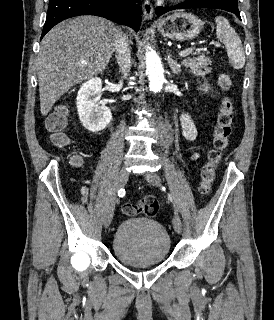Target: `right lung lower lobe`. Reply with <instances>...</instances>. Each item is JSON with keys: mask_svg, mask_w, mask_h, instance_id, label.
<instances>
[{"mask_svg": "<svg viewBox=\"0 0 274 320\" xmlns=\"http://www.w3.org/2000/svg\"><path fill=\"white\" fill-rule=\"evenodd\" d=\"M141 0H50L42 37L59 22L79 15H96L138 31Z\"/></svg>", "mask_w": 274, "mask_h": 320, "instance_id": "98d812e1", "label": "right lung lower lobe"}]
</instances>
